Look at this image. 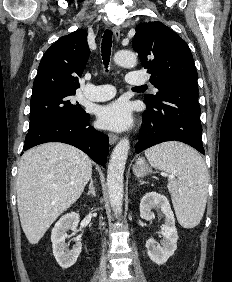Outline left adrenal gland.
<instances>
[{"instance_id":"1","label":"left adrenal gland","mask_w":232,"mask_h":282,"mask_svg":"<svg viewBox=\"0 0 232 282\" xmlns=\"http://www.w3.org/2000/svg\"><path fill=\"white\" fill-rule=\"evenodd\" d=\"M143 184H145V182L140 181V185H143Z\"/></svg>"}]
</instances>
